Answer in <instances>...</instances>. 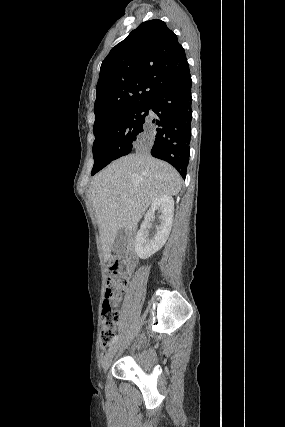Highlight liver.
Listing matches in <instances>:
<instances>
[{
	"instance_id": "1",
	"label": "liver",
	"mask_w": 285,
	"mask_h": 427,
	"mask_svg": "<svg viewBox=\"0 0 285 427\" xmlns=\"http://www.w3.org/2000/svg\"><path fill=\"white\" fill-rule=\"evenodd\" d=\"M181 185L182 178L171 165L144 152L124 156L99 172L89 186V194L104 259L110 258L119 229L131 232L157 198L177 195ZM121 196L127 200L122 201Z\"/></svg>"
}]
</instances>
